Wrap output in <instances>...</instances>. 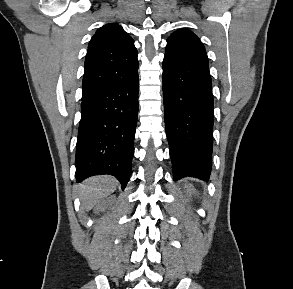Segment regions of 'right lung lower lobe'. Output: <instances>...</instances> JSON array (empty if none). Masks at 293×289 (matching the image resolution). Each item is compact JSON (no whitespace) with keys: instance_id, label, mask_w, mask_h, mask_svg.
Returning a JSON list of instances; mask_svg holds the SVG:
<instances>
[{"instance_id":"right-lung-lower-lobe-1","label":"right lung lower lobe","mask_w":293,"mask_h":289,"mask_svg":"<svg viewBox=\"0 0 293 289\" xmlns=\"http://www.w3.org/2000/svg\"><path fill=\"white\" fill-rule=\"evenodd\" d=\"M138 76L82 99L76 180L115 176L124 189L131 174L138 115Z\"/></svg>"}]
</instances>
